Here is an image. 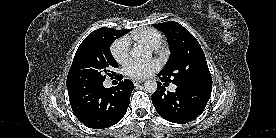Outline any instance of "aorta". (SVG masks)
I'll use <instances>...</instances> for the list:
<instances>
[{
	"mask_svg": "<svg viewBox=\"0 0 276 138\" xmlns=\"http://www.w3.org/2000/svg\"><path fill=\"white\" fill-rule=\"evenodd\" d=\"M130 55L134 60L138 61L148 58L150 56V52L144 51L141 48H133ZM144 90L149 93H154L157 90V82L155 80L145 81Z\"/></svg>",
	"mask_w": 276,
	"mask_h": 138,
	"instance_id": "1",
	"label": "aorta"
}]
</instances>
